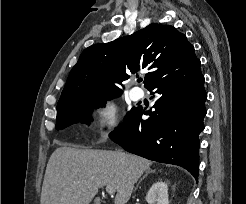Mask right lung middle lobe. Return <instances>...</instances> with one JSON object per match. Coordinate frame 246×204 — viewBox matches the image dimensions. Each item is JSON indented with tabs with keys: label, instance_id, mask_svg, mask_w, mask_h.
I'll return each mask as SVG.
<instances>
[{
	"label": "right lung middle lobe",
	"instance_id": "right-lung-middle-lobe-1",
	"mask_svg": "<svg viewBox=\"0 0 246 204\" xmlns=\"http://www.w3.org/2000/svg\"><path fill=\"white\" fill-rule=\"evenodd\" d=\"M120 95L121 93L89 94L59 101L57 104L56 129H64L78 122L89 124L93 108L105 106L107 100L117 98ZM129 113H127V116Z\"/></svg>",
	"mask_w": 246,
	"mask_h": 204
}]
</instances>
